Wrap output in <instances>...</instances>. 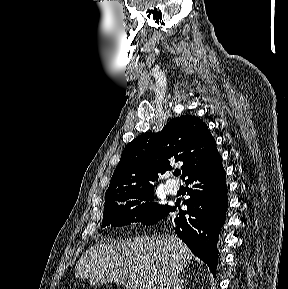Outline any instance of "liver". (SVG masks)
<instances>
[{"label": "liver", "mask_w": 288, "mask_h": 289, "mask_svg": "<svg viewBox=\"0 0 288 289\" xmlns=\"http://www.w3.org/2000/svg\"><path fill=\"white\" fill-rule=\"evenodd\" d=\"M191 259V251L175 235L100 242L79 259L75 277L93 285L128 279L133 289H159L165 268L175 264L182 271Z\"/></svg>", "instance_id": "6515ba94"}]
</instances>
